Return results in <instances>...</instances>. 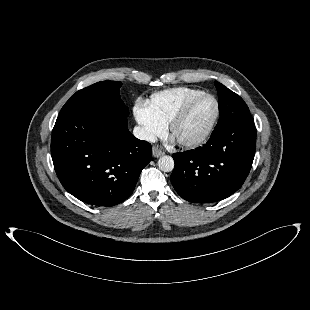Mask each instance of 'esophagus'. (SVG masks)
Here are the masks:
<instances>
[{"mask_svg":"<svg viewBox=\"0 0 310 310\" xmlns=\"http://www.w3.org/2000/svg\"><path fill=\"white\" fill-rule=\"evenodd\" d=\"M153 156L158 158L163 155V151L158 146H153L152 148Z\"/></svg>","mask_w":310,"mask_h":310,"instance_id":"obj_1","label":"esophagus"}]
</instances>
